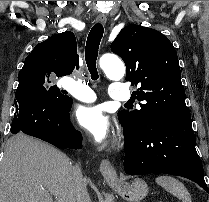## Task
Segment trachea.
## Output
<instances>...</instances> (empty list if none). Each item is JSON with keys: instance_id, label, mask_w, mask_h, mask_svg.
I'll list each match as a JSON object with an SVG mask.
<instances>
[{"instance_id": "3493384b", "label": "trachea", "mask_w": 209, "mask_h": 202, "mask_svg": "<svg viewBox=\"0 0 209 202\" xmlns=\"http://www.w3.org/2000/svg\"><path fill=\"white\" fill-rule=\"evenodd\" d=\"M103 33H104L103 25L97 23L92 27L86 41L85 61L92 80H97L99 78L96 67V60L98 56L99 45L103 37Z\"/></svg>"}]
</instances>
